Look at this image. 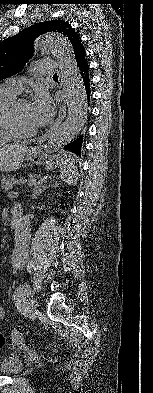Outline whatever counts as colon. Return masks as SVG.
Here are the masks:
<instances>
[{
	"label": "colon",
	"instance_id": "5ec220e1",
	"mask_svg": "<svg viewBox=\"0 0 153 393\" xmlns=\"http://www.w3.org/2000/svg\"><path fill=\"white\" fill-rule=\"evenodd\" d=\"M6 343V337L0 333V349H2L5 346Z\"/></svg>",
	"mask_w": 153,
	"mask_h": 393
}]
</instances>
